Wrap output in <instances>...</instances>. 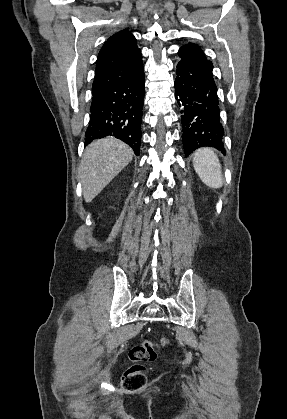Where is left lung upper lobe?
I'll list each match as a JSON object with an SVG mask.
<instances>
[{
  "label": "left lung upper lobe",
  "instance_id": "1",
  "mask_svg": "<svg viewBox=\"0 0 287 419\" xmlns=\"http://www.w3.org/2000/svg\"><path fill=\"white\" fill-rule=\"evenodd\" d=\"M178 53L182 59L195 61V62L211 63L210 61L206 59L203 51L195 44H188V45L182 46Z\"/></svg>",
  "mask_w": 287,
  "mask_h": 419
}]
</instances>
